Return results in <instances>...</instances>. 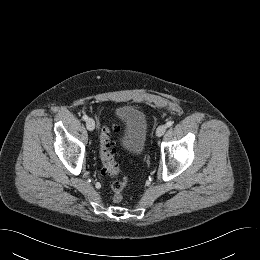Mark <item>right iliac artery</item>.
Here are the masks:
<instances>
[{
    "mask_svg": "<svg viewBox=\"0 0 260 260\" xmlns=\"http://www.w3.org/2000/svg\"><path fill=\"white\" fill-rule=\"evenodd\" d=\"M85 121H87V119H88V116L87 115H83V117H82Z\"/></svg>",
    "mask_w": 260,
    "mask_h": 260,
    "instance_id": "right-iliac-artery-1",
    "label": "right iliac artery"
}]
</instances>
